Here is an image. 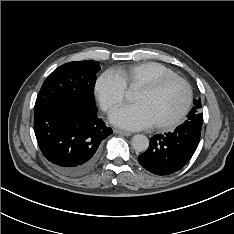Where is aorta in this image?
Returning a JSON list of instances; mask_svg holds the SVG:
<instances>
[{
	"instance_id": "aorta-1",
	"label": "aorta",
	"mask_w": 234,
	"mask_h": 234,
	"mask_svg": "<svg viewBox=\"0 0 234 234\" xmlns=\"http://www.w3.org/2000/svg\"><path fill=\"white\" fill-rule=\"evenodd\" d=\"M131 145L136 151H146L149 147V139L143 134L133 136Z\"/></svg>"
}]
</instances>
